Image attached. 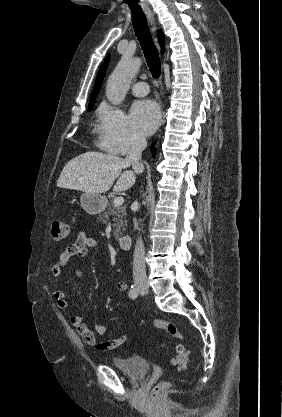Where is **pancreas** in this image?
Masks as SVG:
<instances>
[{
  "label": "pancreas",
  "instance_id": "obj_1",
  "mask_svg": "<svg viewBox=\"0 0 282 417\" xmlns=\"http://www.w3.org/2000/svg\"><path fill=\"white\" fill-rule=\"evenodd\" d=\"M108 206L109 209H106L103 215H99V219H101L103 225H106V223L109 221V215H112L113 235L115 237V241H119L121 235H123V231H121V229H124L127 223L126 219H124L126 215L125 206H122V204H117V206H115L114 200H111Z\"/></svg>",
  "mask_w": 282,
  "mask_h": 417
}]
</instances>
